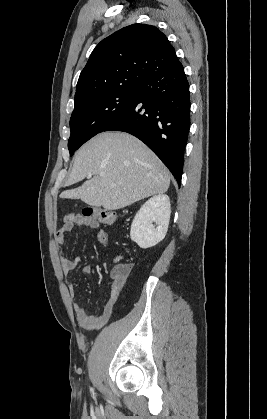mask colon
<instances>
[{"label":"colon","instance_id":"obj_1","mask_svg":"<svg viewBox=\"0 0 267 419\" xmlns=\"http://www.w3.org/2000/svg\"><path fill=\"white\" fill-rule=\"evenodd\" d=\"M82 215L86 218H89L98 224L103 225H113L118 220V215L108 209L104 208H96V207H90L83 210ZM129 265L127 264H119L114 268V272L119 275H123L129 272Z\"/></svg>","mask_w":267,"mask_h":419}]
</instances>
